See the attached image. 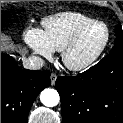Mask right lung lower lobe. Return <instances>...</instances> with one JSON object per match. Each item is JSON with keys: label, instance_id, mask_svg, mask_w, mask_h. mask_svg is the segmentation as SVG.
Returning a JSON list of instances; mask_svg holds the SVG:
<instances>
[{"label": "right lung lower lobe", "instance_id": "1", "mask_svg": "<svg viewBox=\"0 0 123 123\" xmlns=\"http://www.w3.org/2000/svg\"><path fill=\"white\" fill-rule=\"evenodd\" d=\"M49 85V71L20 69L1 53V123H27L34 100Z\"/></svg>", "mask_w": 123, "mask_h": 123}]
</instances>
